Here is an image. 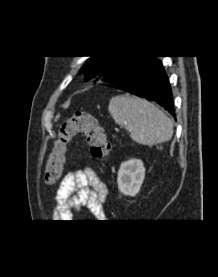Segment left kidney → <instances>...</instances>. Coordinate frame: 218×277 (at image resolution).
<instances>
[{
	"instance_id": "left-kidney-1",
	"label": "left kidney",
	"mask_w": 218,
	"mask_h": 277,
	"mask_svg": "<svg viewBox=\"0 0 218 277\" xmlns=\"http://www.w3.org/2000/svg\"><path fill=\"white\" fill-rule=\"evenodd\" d=\"M145 178V168L139 159L122 162L118 171L117 183L119 191L124 195L135 196Z\"/></svg>"
}]
</instances>
